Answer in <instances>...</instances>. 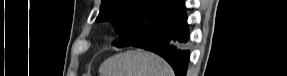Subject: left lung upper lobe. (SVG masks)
<instances>
[{"label":"left lung upper lobe","instance_id":"1","mask_svg":"<svg viewBox=\"0 0 287 76\" xmlns=\"http://www.w3.org/2000/svg\"><path fill=\"white\" fill-rule=\"evenodd\" d=\"M183 7V0H102L97 21L111 22L119 36L113 44L124 47Z\"/></svg>","mask_w":287,"mask_h":76}]
</instances>
